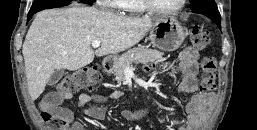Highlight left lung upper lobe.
I'll use <instances>...</instances> for the list:
<instances>
[{"label": "left lung upper lobe", "instance_id": "5c2ea615", "mask_svg": "<svg viewBox=\"0 0 257 130\" xmlns=\"http://www.w3.org/2000/svg\"><path fill=\"white\" fill-rule=\"evenodd\" d=\"M190 2L193 11L207 15L212 19L221 18L214 0H190Z\"/></svg>", "mask_w": 257, "mask_h": 130}]
</instances>
